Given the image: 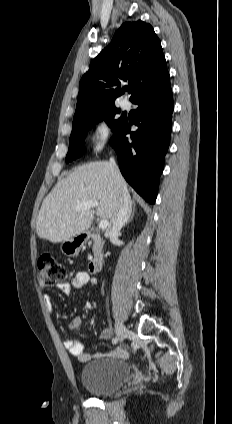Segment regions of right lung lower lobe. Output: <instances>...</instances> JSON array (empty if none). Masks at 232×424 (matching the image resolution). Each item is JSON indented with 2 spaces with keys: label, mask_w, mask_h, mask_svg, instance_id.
<instances>
[{
  "label": "right lung lower lobe",
  "mask_w": 232,
  "mask_h": 424,
  "mask_svg": "<svg viewBox=\"0 0 232 424\" xmlns=\"http://www.w3.org/2000/svg\"><path fill=\"white\" fill-rule=\"evenodd\" d=\"M133 103L139 106L135 122L138 130L131 132V125L126 120L114 133L110 144L117 153L126 181L147 202L154 204L172 127L173 95L169 72Z\"/></svg>",
  "instance_id": "1"
}]
</instances>
